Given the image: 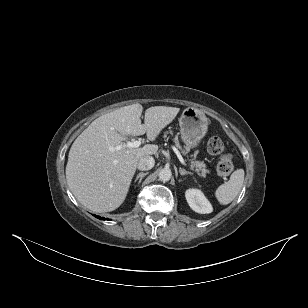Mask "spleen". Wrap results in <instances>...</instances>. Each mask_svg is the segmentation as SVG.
I'll return each mask as SVG.
<instances>
[{
	"label": "spleen",
	"instance_id": "1",
	"mask_svg": "<svg viewBox=\"0 0 308 308\" xmlns=\"http://www.w3.org/2000/svg\"><path fill=\"white\" fill-rule=\"evenodd\" d=\"M244 182V170H235L228 182L220 185L215 191V196L220 204L227 205L231 203L242 189Z\"/></svg>",
	"mask_w": 308,
	"mask_h": 308
}]
</instances>
